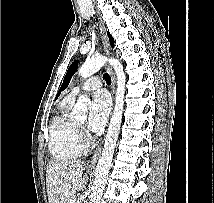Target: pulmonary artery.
<instances>
[{
    "instance_id": "1",
    "label": "pulmonary artery",
    "mask_w": 214,
    "mask_h": 203,
    "mask_svg": "<svg viewBox=\"0 0 214 203\" xmlns=\"http://www.w3.org/2000/svg\"><path fill=\"white\" fill-rule=\"evenodd\" d=\"M102 86V81L98 76L90 77L85 82H83L81 85L75 87L72 89L68 97L75 100V98L83 93V92H89L93 90H97Z\"/></svg>"
}]
</instances>
